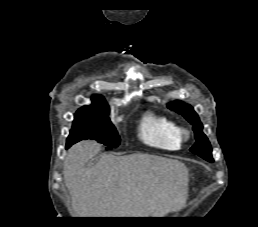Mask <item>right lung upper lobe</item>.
I'll return each mask as SVG.
<instances>
[{
	"label": "right lung upper lobe",
	"instance_id": "obj_1",
	"mask_svg": "<svg viewBox=\"0 0 258 227\" xmlns=\"http://www.w3.org/2000/svg\"><path fill=\"white\" fill-rule=\"evenodd\" d=\"M81 109H96V110H104L109 109L107 102L101 95H94L92 97V104L88 106H84Z\"/></svg>",
	"mask_w": 258,
	"mask_h": 227
}]
</instances>
